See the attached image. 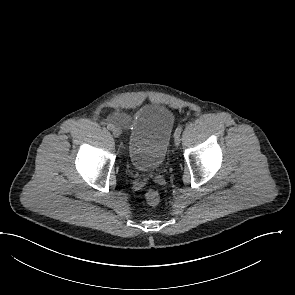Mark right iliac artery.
<instances>
[{
  "instance_id": "82829eb1",
  "label": "right iliac artery",
  "mask_w": 295,
  "mask_h": 295,
  "mask_svg": "<svg viewBox=\"0 0 295 295\" xmlns=\"http://www.w3.org/2000/svg\"><path fill=\"white\" fill-rule=\"evenodd\" d=\"M113 128H114V125H113V124H108V125H107V129H108V130H112Z\"/></svg>"
}]
</instances>
